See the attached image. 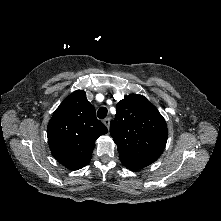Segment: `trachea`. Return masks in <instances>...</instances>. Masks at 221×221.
<instances>
[{
	"label": "trachea",
	"instance_id": "3493384b",
	"mask_svg": "<svg viewBox=\"0 0 221 221\" xmlns=\"http://www.w3.org/2000/svg\"><path fill=\"white\" fill-rule=\"evenodd\" d=\"M108 110L106 107H101L99 108V110L97 111V116L100 119H104L107 116Z\"/></svg>",
	"mask_w": 221,
	"mask_h": 221
}]
</instances>
